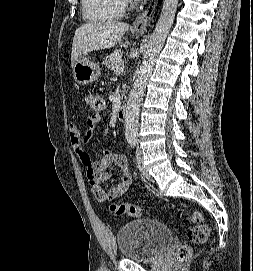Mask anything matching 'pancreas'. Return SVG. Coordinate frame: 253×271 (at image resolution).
Listing matches in <instances>:
<instances>
[{
	"mask_svg": "<svg viewBox=\"0 0 253 271\" xmlns=\"http://www.w3.org/2000/svg\"><path fill=\"white\" fill-rule=\"evenodd\" d=\"M122 64L123 62L121 51H114L112 54L107 56L102 62V65L113 71L116 66H121Z\"/></svg>",
	"mask_w": 253,
	"mask_h": 271,
	"instance_id": "obj_1",
	"label": "pancreas"
}]
</instances>
